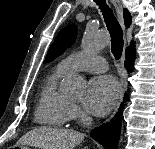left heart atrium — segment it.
<instances>
[{"label": "left heart atrium", "instance_id": "left-heart-atrium-1", "mask_svg": "<svg viewBox=\"0 0 155 149\" xmlns=\"http://www.w3.org/2000/svg\"><path fill=\"white\" fill-rule=\"evenodd\" d=\"M119 88L116 80L111 76L93 78L87 88L84 105L96 116L106 115L116 103Z\"/></svg>", "mask_w": 155, "mask_h": 149}]
</instances>
